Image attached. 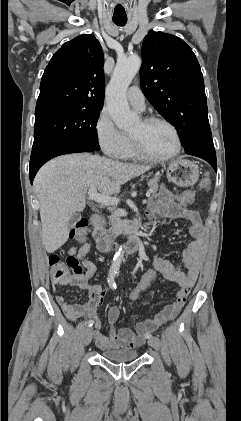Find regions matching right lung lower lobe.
<instances>
[{
	"label": "right lung lower lobe",
	"mask_w": 241,
	"mask_h": 421,
	"mask_svg": "<svg viewBox=\"0 0 241 421\" xmlns=\"http://www.w3.org/2000/svg\"><path fill=\"white\" fill-rule=\"evenodd\" d=\"M92 151H95V149L90 146L77 143L53 145L40 150L32 151L29 170L31 184L40 167L50 159L63 154Z\"/></svg>",
	"instance_id": "obj_1"
}]
</instances>
